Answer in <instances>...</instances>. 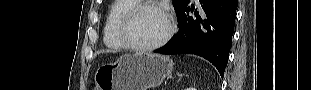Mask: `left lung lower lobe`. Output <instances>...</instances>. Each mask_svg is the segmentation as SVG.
Listing matches in <instances>:
<instances>
[{
	"label": "left lung lower lobe",
	"mask_w": 311,
	"mask_h": 90,
	"mask_svg": "<svg viewBox=\"0 0 311 90\" xmlns=\"http://www.w3.org/2000/svg\"><path fill=\"white\" fill-rule=\"evenodd\" d=\"M195 16L187 6L177 16L180 30L175 39L155 53L196 54L210 61L221 77L227 65L234 32L237 0H199Z\"/></svg>",
	"instance_id": "obj_1"
}]
</instances>
